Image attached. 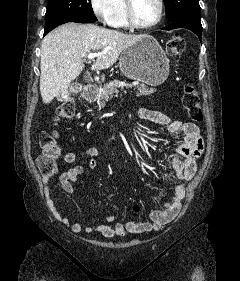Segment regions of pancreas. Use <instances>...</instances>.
Listing matches in <instances>:
<instances>
[{"label": "pancreas", "mask_w": 240, "mask_h": 281, "mask_svg": "<svg viewBox=\"0 0 240 281\" xmlns=\"http://www.w3.org/2000/svg\"><path fill=\"white\" fill-rule=\"evenodd\" d=\"M118 88H123V83L115 80L109 83H106L103 87L99 88V98L97 103L99 107H104L106 103L114 96V94H118ZM137 96H148L152 93L156 92V89L149 88L145 84H139L136 86Z\"/></svg>", "instance_id": "obj_1"}]
</instances>
